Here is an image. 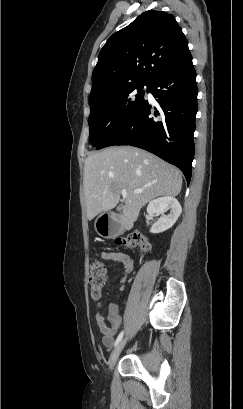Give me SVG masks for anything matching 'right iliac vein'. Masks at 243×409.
<instances>
[{
    "mask_svg": "<svg viewBox=\"0 0 243 409\" xmlns=\"http://www.w3.org/2000/svg\"><path fill=\"white\" fill-rule=\"evenodd\" d=\"M125 344H126V338L123 339L121 342H119V344L116 346V348L111 353V355L109 357V361H108V366H109L110 370L113 369V366L116 363V361H117L122 349L124 348Z\"/></svg>",
    "mask_w": 243,
    "mask_h": 409,
    "instance_id": "1",
    "label": "right iliac vein"
}]
</instances>
